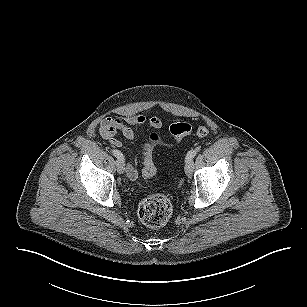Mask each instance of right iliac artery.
<instances>
[{
    "instance_id": "82829eb1",
    "label": "right iliac artery",
    "mask_w": 307,
    "mask_h": 307,
    "mask_svg": "<svg viewBox=\"0 0 307 307\" xmlns=\"http://www.w3.org/2000/svg\"><path fill=\"white\" fill-rule=\"evenodd\" d=\"M112 154H113L116 158L121 159V160H124V156H123V154H122L119 150L113 149V150H112Z\"/></svg>"
}]
</instances>
